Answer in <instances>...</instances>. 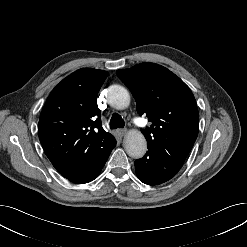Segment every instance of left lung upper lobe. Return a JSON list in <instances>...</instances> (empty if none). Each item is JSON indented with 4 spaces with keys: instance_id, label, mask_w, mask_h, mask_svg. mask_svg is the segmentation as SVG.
Segmentation results:
<instances>
[{
    "instance_id": "5c2ea615",
    "label": "left lung upper lobe",
    "mask_w": 247,
    "mask_h": 247,
    "mask_svg": "<svg viewBox=\"0 0 247 247\" xmlns=\"http://www.w3.org/2000/svg\"><path fill=\"white\" fill-rule=\"evenodd\" d=\"M132 92L137 111L152 122L142 130L148 145L182 144L192 148L198 135L199 113L190 88L167 68L141 63L117 72Z\"/></svg>"
}]
</instances>
